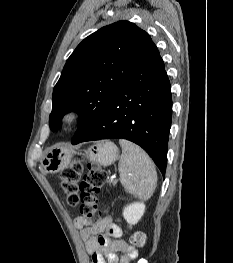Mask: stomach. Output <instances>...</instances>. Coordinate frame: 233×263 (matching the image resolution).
Masks as SVG:
<instances>
[{
	"mask_svg": "<svg viewBox=\"0 0 233 263\" xmlns=\"http://www.w3.org/2000/svg\"><path fill=\"white\" fill-rule=\"evenodd\" d=\"M87 158L102 166L111 165L119 156L117 146L110 141L99 142L91 146L86 152ZM73 151L62 146H53L46 150L41 160L42 167L49 173H58L68 166Z\"/></svg>",
	"mask_w": 233,
	"mask_h": 263,
	"instance_id": "obj_1",
	"label": "stomach"
}]
</instances>
